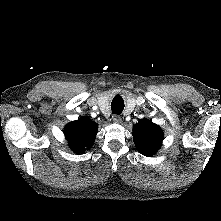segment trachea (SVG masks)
Wrapping results in <instances>:
<instances>
[{"label": "trachea", "mask_w": 221, "mask_h": 221, "mask_svg": "<svg viewBox=\"0 0 221 221\" xmlns=\"http://www.w3.org/2000/svg\"><path fill=\"white\" fill-rule=\"evenodd\" d=\"M111 109L114 114L119 115L124 109V101L120 96H116L111 102Z\"/></svg>", "instance_id": "trachea-1"}]
</instances>
